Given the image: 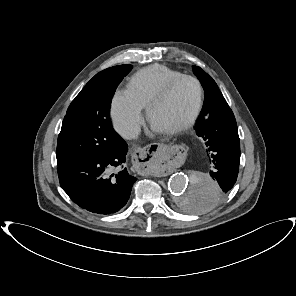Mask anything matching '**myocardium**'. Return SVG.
<instances>
[{"label":"myocardium","mask_w":296,"mask_h":296,"mask_svg":"<svg viewBox=\"0 0 296 296\" xmlns=\"http://www.w3.org/2000/svg\"><path fill=\"white\" fill-rule=\"evenodd\" d=\"M183 81H191L195 84L198 91L197 103L194 111L186 121L174 127L173 129L164 131V133L167 135H176L183 131H186L187 129L192 127L197 121V119L199 118L201 111L203 109L204 98H205L204 88L200 80L190 75H181L171 80L156 96H154L151 99V101L148 103L146 107L147 119L150 123H152V112L154 108L159 104H161L162 102H164L168 98V96L171 94V92L174 90V88Z\"/></svg>","instance_id":"1"}]
</instances>
